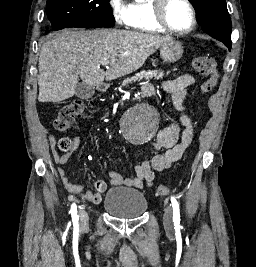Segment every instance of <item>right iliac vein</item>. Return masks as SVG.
Listing matches in <instances>:
<instances>
[{
  "label": "right iliac vein",
  "instance_id": "63e3f726",
  "mask_svg": "<svg viewBox=\"0 0 256 267\" xmlns=\"http://www.w3.org/2000/svg\"><path fill=\"white\" fill-rule=\"evenodd\" d=\"M89 216L88 213L82 209L80 211V227L85 228L88 225Z\"/></svg>",
  "mask_w": 256,
  "mask_h": 267
}]
</instances>
